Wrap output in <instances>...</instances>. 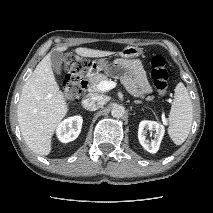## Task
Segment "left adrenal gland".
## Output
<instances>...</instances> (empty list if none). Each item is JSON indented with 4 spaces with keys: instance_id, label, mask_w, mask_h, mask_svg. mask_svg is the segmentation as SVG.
<instances>
[{
    "instance_id": "left-adrenal-gland-1",
    "label": "left adrenal gland",
    "mask_w": 213,
    "mask_h": 213,
    "mask_svg": "<svg viewBox=\"0 0 213 213\" xmlns=\"http://www.w3.org/2000/svg\"><path fill=\"white\" fill-rule=\"evenodd\" d=\"M134 103H135V104H141V102H140V101H134Z\"/></svg>"
}]
</instances>
